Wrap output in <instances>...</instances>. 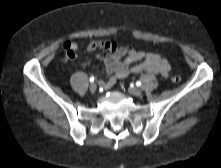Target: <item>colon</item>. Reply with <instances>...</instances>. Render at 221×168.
Wrapping results in <instances>:
<instances>
[{
    "mask_svg": "<svg viewBox=\"0 0 221 168\" xmlns=\"http://www.w3.org/2000/svg\"><path fill=\"white\" fill-rule=\"evenodd\" d=\"M171 80H172V82H174V83H179V82L181 81V77L178 76V75H173V76L171 77Z\"/></svg>",
    "mask_w": 221,
    "mask_h": 168,
    "instance_id": "obj_1",
    "label": "colon"
}]
</instances>
